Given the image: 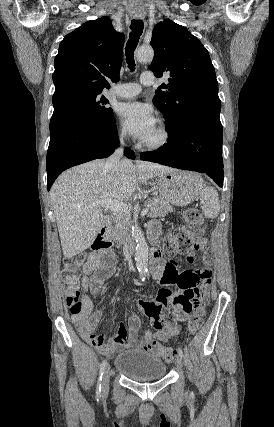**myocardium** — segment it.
Returning <instances> with one entry per match:
<instances>
[{
	"mask_svg": "<svg viewBox=\"0 0 274 427\" xmlns=\"http://www.w3.org/2000/svg\"><path fill=\"white\" fill-rule=\"evenodd\" d=\"M157 124L162 132L160 141L157 143H146L141 141L139 143V147L146 152L159 153L165 150L172 141L173 135L170 127L162 120H160Z\"/></svg>",
	"mask_w": 274,
	"mask_h": 427,
	"instance_id": "myocardium-1",
	"label": "myocardium"
}]
</instances>
